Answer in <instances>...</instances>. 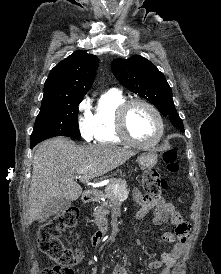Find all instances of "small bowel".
<instances>
[{
    "label": "small bowel",
    "mask_w": 221,
    "mask_h": 274,
    "mask_svg": "<svg viewBox=\"0 0 221 274\" xmlns=\"http://www.w3.org/2000/svg\"><path fill=\"white\" fill-rule=\"evenodd\" d=\"M133 198L139 204V207L134 212L136 219H143L152 210V222L155 226L167 221H170L174 226L173 231L165 232L162 235L164 242L174 243L172 249L162 253L159 259L149 263L151 270L161 269L160 274H170L171 269L184 252L189 235V225L184 221L174 205L162 198H151L142 194L139 190L133 191ZM92 263V261L88 262L89 265ZM112 274H129V271L124 266L117 265L114 267Z\"/></svg>",
    "instance_id": "obj_1"
}]
</instances>
